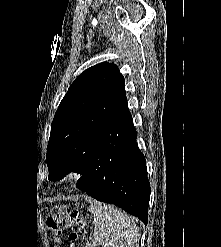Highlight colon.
<instances>
[{
	"instance_id": "1",
	"label": "colon",
	"mask_w": 221,
	"mask_h": 247,
	"mask_svg": "<svg viewBox=\"0 0 221 247\" xmlns=\"http://www.w3.org/2000/svg\"><path fill=\"white\" fill-rule=\"evenodd\" d=\"M46 225L55 242H57L61 234L68 228H72L74 230L71 234V239L75 240L77 233L84 229L86 222L77 212H71L69 214L60 213L54 218H49Z\"/></svg>"
}]
</instances>
